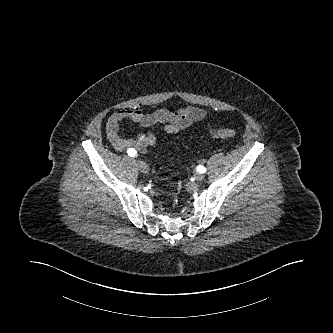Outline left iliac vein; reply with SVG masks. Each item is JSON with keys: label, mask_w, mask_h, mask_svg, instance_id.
<instances>
[{"label": "left iliac vein", "mask_w": 333, "mask_h": 333, "mask_svg": "<svg viewBox=\"0 0 333 333\" xmlns=\"http://www.w3.org/2000/svg\"><path fill=\"white\" fill-rule=\"evenodd\" d=\"M194 177L197 181H202L204 179V175L202 173L196 172Z\"/></svg>", "instance_id": "4c4485c4"}]
</instances>
